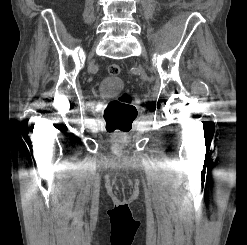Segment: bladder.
Masks as SVG:
<instances>
[{"mask_svg": "<svg viewBox=\"0 0 247 245\" xmlns=\"http://www.w3.org/2000/svg\"><path fill=\"white\" fill-rule=\"evenodd\" d=\"M123 81L117 76H106L98 85V93L102 96L110 95L120 91L123 88Z\"/></svg>", "mask_w": 247, "mask_h": 245, "instance_id": "obj_1", "label": "bladder"}]
</instances>
